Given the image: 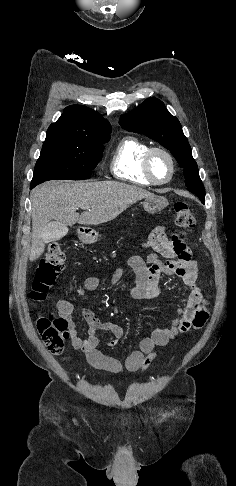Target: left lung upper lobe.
I'll return each instance as SVG.
<instances>
[{"label": "left lung upper lobe", "instance_id": "5c2ea615", "mask_svg": "<svg viewBox=\"0 0 236 486\" xmlns=\"http://www.w3.org/2000/svg\"><path fill=\"white\" fill-rule=\"evenodd\" d=\"M119 123L125 130L145 134L170 150L180 167L184 168L187 190L205 203V189L191 147L179 120L168 112L162 101L148 98L133 112L121 117Z\"/></svg>", "mask_w": 236, "mask_h": 486}]
</instances>
